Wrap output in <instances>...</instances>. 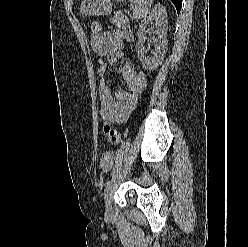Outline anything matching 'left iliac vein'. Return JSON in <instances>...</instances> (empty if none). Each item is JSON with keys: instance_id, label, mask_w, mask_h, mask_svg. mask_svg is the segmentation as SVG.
<instances>
[{"instance_id": "obj_1", "label": "left iliac vein", "mask_w": 248, "mask_h": 247, "mask_svg": "<svg viewBox=\"0 0 248 247\" xmlns=\"http://www.w3.org/2000/svg\"><path fill=\"white\" fill-rule=\"evenodd\" d=\"M111 186L108 188L107 191V198L105 199V208L107 213L112 212V207H111Z\"/></svg>"}]
</instances>
